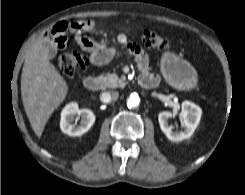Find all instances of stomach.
Masks as SVG:
<instances>
[{
	"mask_svg": "<svg viewBox=\"0 0 245 195\" xmlns=\"http://www.w3.org/2000/svg\"><path fill=\"white\" fill-rule=\"evenodd\" d=\"M162 72L167 81L177 89L187 90L196 85L195 71L184 60L172 53L164 54Z\"/></svg>",
	"mask_w": 245,
	"mask_h": 195,
	"instance_id": "1",
	"label": "stomach"
}]
</instances>
